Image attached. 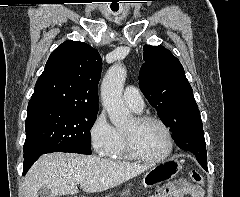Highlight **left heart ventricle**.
Masks as SVG:
<instances>
[{
  "label": "left heart ventricle",
  "mask_w": 240,
  "mask_h": 197,
  "mask_svg": "<svg viewBox=\"0 0 240 197\" xmlns=\"http://www.w3.org/2000/svg\"><path fill=\"white\" fill-rule=\"evenodd\" d=\"M124 131L134 136L139 150L149 157H159L168 148L167 135L162 126L156 122L137 124L133 119Z\"/></svg>",
  "instance_id": "b2bd125f"
}]
</instances>
